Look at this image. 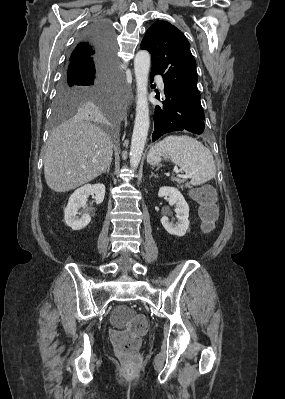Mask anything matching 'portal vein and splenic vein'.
Instances as JSON below:
<instances>
[{"label":"portal vein and splenic vein","mask_w":285,"mask_h":399,"mask_svg":"<svg viewBox=\"0 0 285 399\" xmlns=\"http://www.w3.org/2000/svg\"><path fill=\"white\" fill-rule=\"evenodd\" d=\"M175 172H176V174H177L178 177H183V178H190V177H191L190 175H187V174H185V175H180V174H179V170H177V169L175 170Z\"/></svg>","instance_id":"portal-vein-and-splenic-vein-1"}]
</instances>
